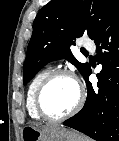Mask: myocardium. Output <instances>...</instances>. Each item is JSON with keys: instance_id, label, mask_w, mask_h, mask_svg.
I'll use <instances>...</instances> for the list:
<instances>
[{"instance_id": "1", "label": "myocardium", "mask_w": 119, "mask_h": 141, "mask_svg": "<svg viewBox=\"0 0 119 141\" xmlns=\"http://www.w3.org/2000/svg\"><path fill=\"white\" fill-rule=\"evenodd\" d=\"M60 76H67L69 78H71L76 87H77V91H78V96H77V100L76 103L74 104V106L66 113L57 116V117H51L49 115H47L43 108H42V104H41V98L43 95L44 90L46 89V87L56 78L60 77ZM85 100V92H84V88L80 82V80L78 79V77L76 76L75 73H73L70 70L67 69H59L56 71H52L50 74H48L43 81L40 83V85L38 86L36 92H35V96H34V106H35V110L37 112V114L40 116L41 119H44L46 121H62L65 120L73 115H75L83 106Z\"/></svg>"}]
</instances>
